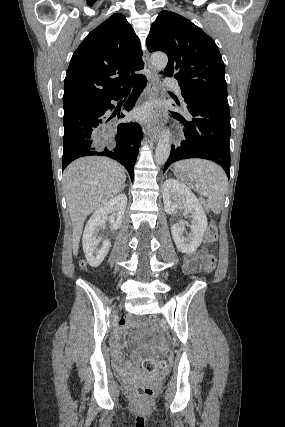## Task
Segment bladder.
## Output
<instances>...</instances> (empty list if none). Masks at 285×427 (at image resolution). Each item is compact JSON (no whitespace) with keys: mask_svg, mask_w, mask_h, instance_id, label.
I'll use <instances>...</instances> for the list:
<instances>
[{"mask_svg":"<svg viewBox=\"0 0 285 427\" xmlns=\"http://www.w3.org/2000/svg\"><path fill=\"white\" fill-rule=\"evenodd\" d=\"M145 377L153 379V378L157 377V375L153 374V373H150V374H145Z\"/></svg>","mask_w":285,"mask_h":427,"instance_id":"obj_1","label":"bladder"}]
</instances>
